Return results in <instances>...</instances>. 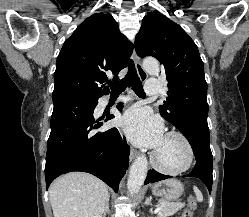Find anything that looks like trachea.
Instances as JSON below:
<instances>
[{"mask_svg":"<svg viewBox=\"0 0 249 217\" xmlns=\"http://www.w3.org/2000/svg\"><path fill=\"white\" fill-rule=\"evenodd\" d=\"M112 94L122 93L127 86L132 85L134 92L139 97H145L142 83L137 75L133 60H130L127 75L118 82L108 83Z\"/></svg>","mask_w":249,"mask_h":217,"instance_id":"1","label":"trachea"}]
</instances>
